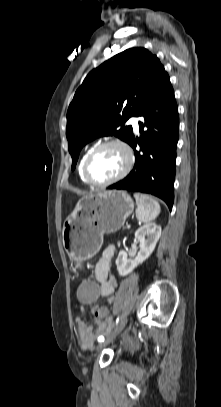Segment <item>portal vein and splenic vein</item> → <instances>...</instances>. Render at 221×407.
I'll use <instances>...</instances> for the list:
<instances>
[{"label": "portal vein and splenic vein", "mask_w": 221, "mask_h": 407, "mask_svg": "<svg viewBox=\"0 0 221 407\" xmlns=\"http://www.w3.org/2000/svg\"><path fill=\"white\" fill-rule=\"evenodd\" d=\"M127 228H130V225H127Z\"/></svg>", "instance_id": "obj_1"}]
</instances>
